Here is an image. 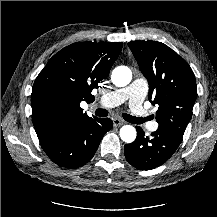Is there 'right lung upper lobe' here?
Returning a JSON list of instances; mask_svg holds the SVG:
<instances>
[{"label": "right lung upper lobe", "instance_id": "cb5924a9", "mask_svg": "<svg viewBox=\"0 0 217 217\" xmlns=\"http://www.w3.org/2000/svg\"><path fill=\"white\" fill-rule=\"evenodd\" d=\"M123 43L77 42L56 53L37 76L31 94L38 138L89 119L80 107L105 79Z\"/></svg>", "mask_w": 217, "mask_h": 217}]
</instances>
